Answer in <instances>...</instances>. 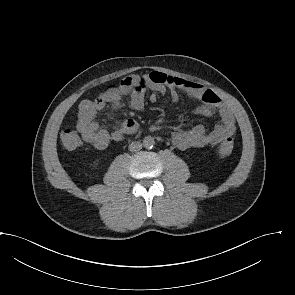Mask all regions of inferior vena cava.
I'll return each mask as SVG.
<instances>
[{"label":"inferior vena cava","instance_id":"602c4592","mask_svg":"<svg viewBox=\"0 0 295 295\" xmlns=\"http://www.w3.org/2000/svg\"><path fill=\"white\" fill-rule=\"evenodd\" d=\"M142 149V144L140 142H132L130 145H129V150L131 152H137L139 150Z\"/></svg>","mask_w":295,"mask_h":295}]
</instances>
